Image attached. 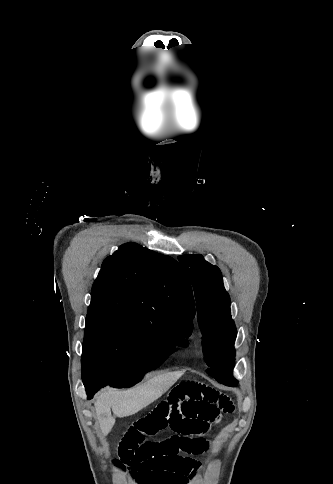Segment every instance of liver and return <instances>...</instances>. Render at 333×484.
I'll list each match as a JSON object with an SVG mask.
<instances>
[{"label":"liver","instance_id":"1","mask_svg":"<svg viewBox=\"0 0 333 484\" xmlns=\"http://www.w3.org/2000/svg\"><path fill=\"white\" fill-rule=\"evenodd\" d=\"M183 375V372H169L149 379L142 385L128 390L103 389L97 396L95 410L103 435H107L115 424L111 408L117 417L138 413L164 393Z\"/></svg>","mask_w":333,"mask_h":484}]
</instances>
